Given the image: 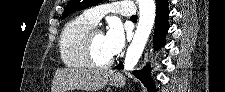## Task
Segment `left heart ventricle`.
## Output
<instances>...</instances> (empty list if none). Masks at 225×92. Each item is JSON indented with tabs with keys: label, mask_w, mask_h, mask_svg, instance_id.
<instances>
[{
	"label": "left heart ventricle",
	"mask_w": 225,
	"mask_h": 92,
	"mask_svg": "<svg viewBox=\"0 0 225 92\" xmlns=\"http://www.w3.org/2000/svg\"><path fill=\"white\" fill-rule=\"evenodd\" d=\"M93 54L99 63H105L112 59L108 52L103 32L96 33L93 37Z\"/></svg>",
	"instance_id": "obj_1"
}]
</instances>
